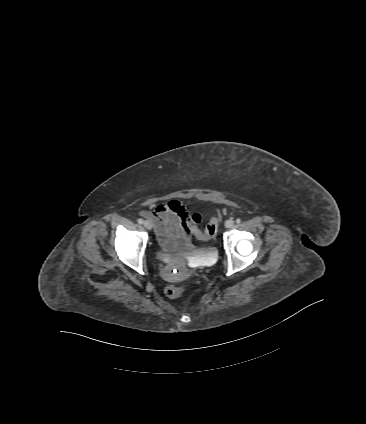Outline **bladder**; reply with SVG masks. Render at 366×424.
I'll list each match as a JSON object with an SVG mask.
<instances>
[{"label":"bladder","instance_id":"bladder-1","mask_svg":"<svg viewBox=\"0 0 366 424\" xmlns=\"http://www.w3.org/2000/svg\"><path fill=\"white\" fill-rule=\"evenodd\" d=\"M215 248H213V247H206V248H201V249H199V250H197L196 252H195V255L196 256H199V257H204V256H208V255H212V254H214L215 253ZM157 255V257L159 258V259H161V258H163V255L162 254H160V253H157L156 254Z\"/></svg>","mask_w":366,"mask_h":424}]
</instances>
